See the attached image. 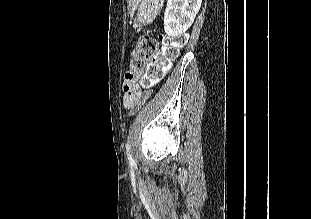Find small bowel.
<instances>
[{
  "label": "small bowel",
  "instance_id": "obj_1",
  "mask_svg": "<svg viewBox=\"0 0 311 219\" xmlns=\"http://www.w3.org/2000/svg\"><path fill=\"white\" fill-rule=\"evenodd\" d=\"M137 76L128 72L125 74L122 89H123V105L130 112H135L142 104L150 97L152 90L151 86L154 83L149 84V88L140 89L136 86Z\"/></svg>",
  "mask_w": 311,
  "mask_h": 219
}]
</instances>
